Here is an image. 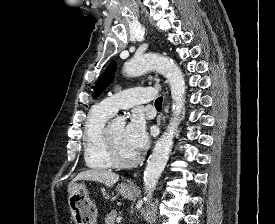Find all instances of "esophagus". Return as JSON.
I'll return each mask as SVG.
<instances>
[{
    "label": "esophagus",
    "instance_id": "esophagus-1",
    "mask_svg": "<svg viewBox=\"0 0 275 224\" xmlns=\"http://www.w3.org/2000/svg\"><path fill=\"white\" fill-rule=\"evenodd\" d=\"M161 120H162V115H160V117L158 118V120H157V123L160 125V123H161Z\"/></svg>",
    "mask_w": 275,
    "mask_h": 224
}]
</instances>
